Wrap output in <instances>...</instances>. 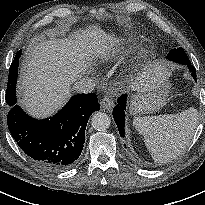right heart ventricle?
<instances>
[{
    "instance_id": "right-heart-ventricle-1",
    "label": "right heart ventricle",
    "mask_w": 205,
    "mask_h": 205,
    "mask_svg": "<svg viewBox=\"0 0 205 205\" xmlns=\"http://www.w3.org/2000/svg\"><path fill=\"white\" fill-rule=\"evenodd\" d=\"M112 55L111 49H105L103 52L100 53L99 57L101 60H107Z\"/></svg>"
}]
</instances>
